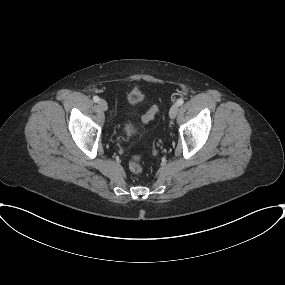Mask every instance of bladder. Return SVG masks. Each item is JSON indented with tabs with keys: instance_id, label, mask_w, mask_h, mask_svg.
Masks as SVG:
<instances>
[{
	"instance_id": "obj_1",
	"label": "bladder",
	"mask_w": 285,
	"mask_h": 285,
	"mask_svg": "<svg viewBox=\"0 0 285 285\" xmlns=\"http://www.w3.org/2000/svg\"><path fill=\"white\" fill-rule=\"evenodd\" d=\"M143 98L142 93L139 90H132L127 94V102L130 105H135L140 102ZM122 131L125 136L129 138L136 137L138 135V131L135 126L131 122H126L123 125Z\"/></svg>"
}]
</instances>
